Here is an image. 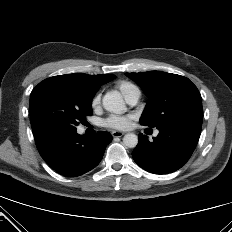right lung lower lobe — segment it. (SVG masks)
Masks as SVG:
<instances>
[{
	"label": "right lung lower lobe",
	"mask_w": 232,
	"mask_h": 232,
	"mask_svg": "<svg viewBox=\"0 0 232 232\" xmlns=\"http://www.w3.org/2000/svg\"><path fill=\"white\" fill-rule=\"evenodd\" d=\"M34 136L46 163L68 177L80 176L96 167L112 140L111 134L104 131L84 137L77 134L76 129L62 128L43 130Z\"/></svg>",
	"instance_id": "1"
}]
</instances>
